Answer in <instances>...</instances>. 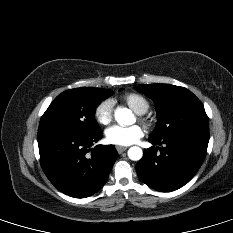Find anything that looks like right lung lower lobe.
<instances>
[{"label": "right lung lower lobe", "mask_w": 233, "mask_h": 233, "mask_svg": "<svg viewBox=\"0 0 233 233\" xmlns=\"http://www.w3.org/2000/svg\"><path fill=\"white\" fill-rule=\"evenodd\" d=\"M102 135V131L85 134L63 129L38 132L42 169L59 191L85 198L104 186L118 153L114 145H97L90 149Z\"/></svg>", "instance_id": "1"}]
</instances>
